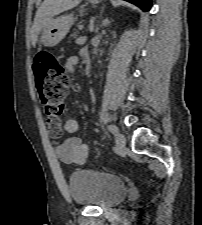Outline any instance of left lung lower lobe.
<instances>
[{"label": "left lung lower lobe", "instance_id": "obj_1", "mask_svg": "<svg viewBox=\"0 0 202 225\" xmlns=\"http://www.w3.org/2000/svg\"><path fill=\"white\" fill-rule=\"evenodd\" d=\"M126 1L139 6L144 11H148L151 5V0H126Z\"/></svg>", "mask_w": 202, "mask_h": 225}]
</instances>
